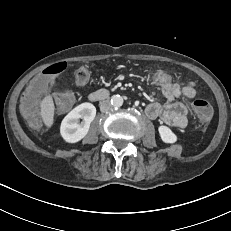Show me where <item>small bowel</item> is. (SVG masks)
Wrapping results in <instances>:
<instances>
[{"label":"small bowel","instance_id":"obj_1","mask_svg":"<svg viewBox=\"0 0 231 231\" xmlns=\"http://www.w3.org/2000/svg\"><path fill=\"white\" fill-rule=\"evenodd\" d=\"M156 84V83H155ZM162 91L164 102H152L145 109L150 119L159 118L167 126L182 129L187 125L188 107L180 98L192 99L196 95L195 84L189 82L180 86L172 81L171 85L156 84Z\"/></svg>","mask_w":231,"mask_h":231}]
</instances>
